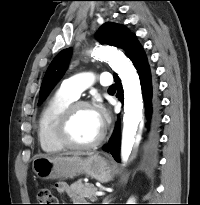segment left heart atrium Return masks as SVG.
Listing matches in <instances>:
<instances>
[{
  "instance_id": "39dd6f15",
  "label": "left heart atrium",
  "mask_w": 200,
  "mask_h": 205,
  "mask_svg": "<svg viewBox=\"0 0 200 205\" xmlns=\"http://www.w3.org/2000/svg\"><path fill=\"white\" fill-rule=\"evenodd\" d=\"M98 121L102 126H104L108 116L106 110L102 106H97L95 109H93Z\"/></svg>"
}]
</instances>
